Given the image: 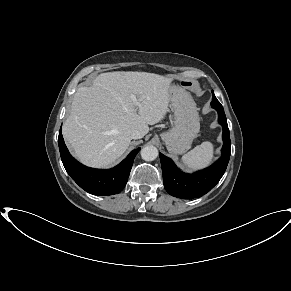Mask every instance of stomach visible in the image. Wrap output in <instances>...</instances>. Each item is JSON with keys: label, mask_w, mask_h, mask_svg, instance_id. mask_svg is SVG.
Segmentation results:
<instances>
[{"label": "stomach", "mask_w": 291, "mask_h": 291, "mask_svg": "<svg viewBox=\"0 0 291 291\" xmlns=\"http://www.w3.org/2000/svg\"><path fill=\"white\" fill-rule=\"evenodd\" d=\"M170 106L174 112V126L161 134L169 152L183 154L191 147L200 124L196 104L188 91L180 86L169 89Z\"/></svg>", "instance_id": "0dacf381"}]
</instances>
